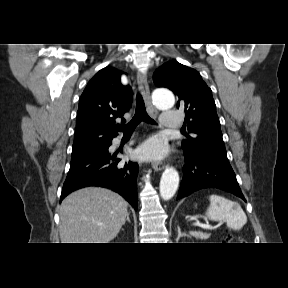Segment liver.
Segmentation results:
<instances>
[{
    "mask_svg": "<svg viewBox=\"0 0 288 288\" xmlns=\"http://www.w3.org/2000/svg\"><path fill=\"white\" fill-rule=\"evenodd\" d=\"M127 206L123 197L105 188L71 193L60 206L61 243H109L125 223Z\"/></svg>",
    "mask_w": 288,
    "mask_h": 288,
    "instance_id": "6515ba94",
    "label": "liver"
}]
</instances>
